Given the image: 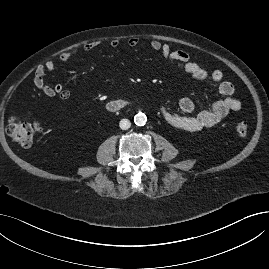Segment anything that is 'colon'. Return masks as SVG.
I'll use <instances>...</instances> for the list:
<instances>
[{
  "instance_id": "obj_1",
  "label": "colon",
  "mask_w": 269,
  "mask_h": 269,
  "mask_svg": "<svg viewBox=\"0 0 269 269\" xmlns=\"http://www.w3.org/2000/svg\"><path fill=\"white\" fill-rule=\"evenodd\" d=\"M40 126L35 122H24L16 117L10 118L6 131L7 134L22 147H30ZM236 133L240 138H245L248 134V126L244 121L236 125Z\"/></svg>"
}]
</instances>
